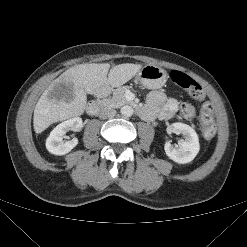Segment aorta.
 <instances>
[{"label": "aorta", "mask_w": 247, "mask_h": 247, "mask_svg": "<svg viewBox=\"0 0 247 247\" xmlns=\"http://www.w3.org/2000/svg\"><path fill=\"white\" fill-rule=\"evenodd\" d=\"M133 112H134L133 108L131 106H129V105L123 106L121 108V114L123 116H125V117L132 116L133 115Z\"/></svg>", "instance_id": "aorta-1"}]
</instances>
